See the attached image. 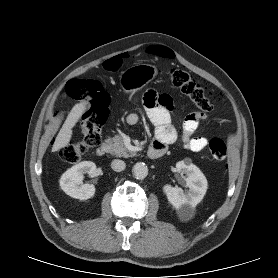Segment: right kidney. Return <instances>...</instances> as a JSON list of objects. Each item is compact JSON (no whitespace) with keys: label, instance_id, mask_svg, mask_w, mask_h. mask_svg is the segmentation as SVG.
Returning a JSON list of instances; mask_svg holds the SVG:
<instances>
[{"label":"right kidney","instance_id":"obj_1","mask_svg":"<svg viewBox=\"0 0 278 278\" xmlns=\"http://www.w3.org/2000/svg\"><path fill=\"white\" fill-rule=\"evenodd\" d=\"M96 170L95 163L83 161L72 166L64 172L60 178L61 189L70 197L87 200L94 196L95 187L90 184H82L84 174L93 175Z\"/></svg>","mask_w":278,"mask_h":278}]
</instances>
